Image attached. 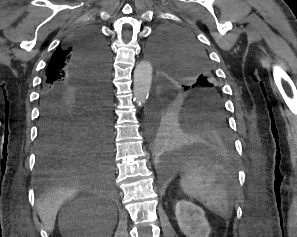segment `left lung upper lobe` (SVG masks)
<instances>
[{"instance_id":"left-lung-upper-lobe-1","label":"left lung upper lobe","mask_w":297,"mask_h":237,"mask_svg":"<svg viewBox=\"0 0 297 237\" xmlns=\"http://www.w3.org/2000/svg\"><path fill=\"white\" fill-rule=\"evenodd\" d=\"M149 53L158 68L160 92L173 103L206 100L225 110L207 54L191 35L174 27L161 28L150 42Z\"/></svg>"}]
</instances>
